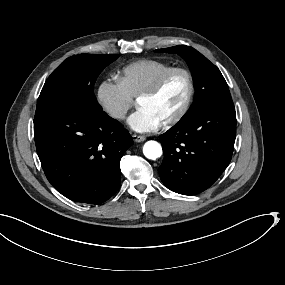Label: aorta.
<instances>
[{
    "label": "aorta",
    "instance_id": "aorta-1",
    "mask_svg": "<svg viewBox=\"0 0 285 285\" xmlns=\"http://www.w3.org/2000/svg\"><path fill=\"white\" fill-rule=\"evenodd\" d=\"M143 153L148 159L156 160L162 155V147L156 141H148L143 146Z\"/></svg>",
    "mask_w": 285,
    "mask_h": 285
}]
</instances>
